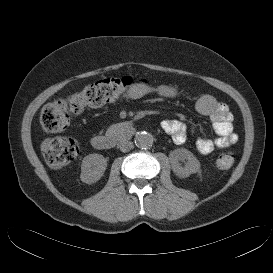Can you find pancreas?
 Returning <instances> with one entry per match:
<instances>
[{
    "mask_svg": "<svg viewBox=\"0 0 273 273\" xmlns=\"http://www.w3.org/2000/svg\"><path fill=\"white\" fill-rule=\"evenodd\" d=\"M116 128H117V125H112V126L109 127V129L107 130V132L111 133V132L115 131Z\"/></svg>",
    "mask_w": 273,
    "mask_h": 273,
    "instance_id": "cf45deb5",
    "label": "pancreas"
}]
</instances>
